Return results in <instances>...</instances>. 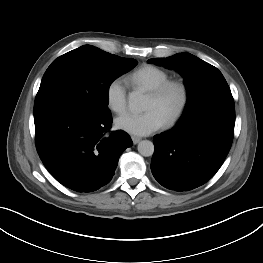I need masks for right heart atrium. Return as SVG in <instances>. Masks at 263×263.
Returning <instances> with one entry per match:
<instances>
[{
	"label": "right heart atrium",
	"instance_id": "d8ad5b80",
	"mask_svg": "<svg viewBox=\"0 0 263 263\" xmlns=\"http://www.w3.org/2000/svg\"><path fill=\"white\" fill-rule=\"evenodd\" d=\"M107 106L113 112L120 114L127 106V91L121 78L112 79L105 91Z\"/></svg>",
	"mask_w": 263,
	"mask_h": 263
}]
</instances>
